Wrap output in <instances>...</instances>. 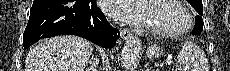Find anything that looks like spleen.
Returning <instances> with one entry per match:
<instances>
[{"instance_id": "3e777b00", "label": "spleen", "mask_w": 230, "mask_h": 71, "mask_svg": "<svg viewBox=\"0 0 230 71\" xmlns=\"http://www.w3.org/2000/svg\"><path fill=\"white\" fill-rule=\"evenodd\" d=\"M181 47L175 71H208L207 59L198 45L185 41Z\"/></svg>"}]
</instances>
